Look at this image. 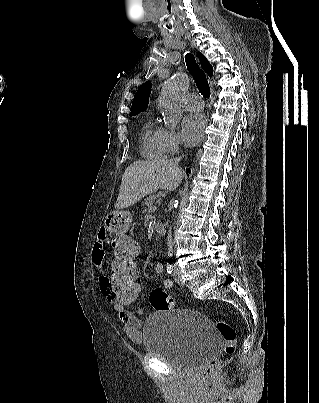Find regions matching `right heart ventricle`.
I'll return each instance as SVG.
<instances>
[{
  "mask_svg": "<svg viewBox=\"0 0 319 403\" xmlns=\"http://www.w3.org/2000/svg\"><path fill=\"white\" fill-rule=\"evenodd\" d=\"M141 152L148 159H158L165 155L163 129L151 120L145 122L142 128Z\"/></svg>",
  "mask_w": 319,
  "mask_h": 403,
  "instance_id": "1",
  "label": "right heart ventricle"
}]
</instances>
